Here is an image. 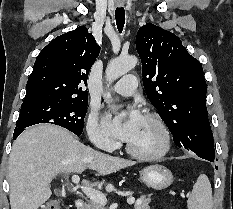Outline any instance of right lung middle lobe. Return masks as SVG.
I'll list each match as a JSON object with an SVG mask.
<instances>
[{
  "label": "right lung middle lobe",
  "mask_w": 233,
  "mask_h": 209,
  "mask_svg": "<svg viewBox=\"0 0 233 209\" xmlns=\"http://www.w3.org/2000/svg\"><path fill=\"white\" fill-rule=\"evenodd\" d=\"M87 106L88 99L22 104L14 132H21L24 128L39 123H50L62 126L80 136Z\"/></svg>",
  "instance_id": "1"
}]
</instances>
